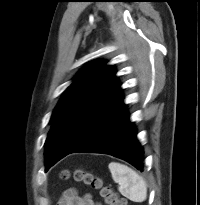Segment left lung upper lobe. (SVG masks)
Returning <instances> with one entry per match:
<instances>
[{"label":"left lung upper lobe","instance_id":"5c2ea615","mask_svg":"<svg viewBox=\"0 0 200 205\" xmlns=\"http://www.w3.org/2000/svg\"><path fill=\"white\" fill-rule=\"evenodd\" d=\"M104 64L84 67L54 109L45 142L46 171L83 139L121 93L114 68Z\"/></svg>","mask_w":200,"mask_h":205}]
</instances>
